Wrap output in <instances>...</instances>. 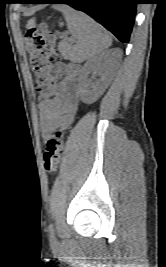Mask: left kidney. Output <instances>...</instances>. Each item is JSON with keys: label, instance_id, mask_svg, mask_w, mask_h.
I'll return each instance as SVG.
<instances>
[{"label": "left kidney", "instance_id": "obj_1", "mask_svg": "<svg viewBox=\"0 0 166 267\" xmlns=\"http://www.w3.org/2000/svg\"><path fill=\"white\" fill-rule=\"evenodd\" d=\"M107 59V53L96 55L87 61L82 68L78 80V92L80 99L85 104H92L96 102L110 83ZM90 72L100 76V78L94 83L88 80Z\"/></svg>", "mask_w": 166, "mask_h": 267}]
</instances>
